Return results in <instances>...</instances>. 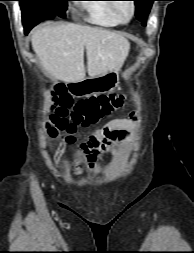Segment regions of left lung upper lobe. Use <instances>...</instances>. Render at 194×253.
Returning a JSON list of instances; mask_svg holds the SVG:
<instances>
[{
  "label": "left lung upper lobe",
  "mask_w": 194,
  "mask_h": 253,
  "mask_svg": "<svg viewBox=\"0 0 194 253\" xmlns=\"http://www.w3.org/2000/svg\"><path fill=\"white\" fill-rule=\"evenodd\" d=\"M136 5V17L143 25L146 24L147 16L150 12L151 6L156 0H133Z\"/></svg>",
  "instance_id": "5c2ea615"
}]
</instances>
